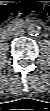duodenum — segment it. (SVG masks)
Wrapping results in <instances>:
<instances>
[{
	"instance_id": "duodenum-1",
	"label": "duodenum",
	"mask_w": 50,
	"mask_h": 111,
	"mask_svg": "<svg viewBox=\"0 0 50 111\" xmlns=\"http://www.w3.org/2000/svg\"><path fill=\"white\" fill-rule=\"evenodd\" d=\"M10 33H11V31H10L9 28L3 29V30L1 31V37H2L3 39H5V38H7V37L10 35Z\"/></svg>"
}]
</instances>
